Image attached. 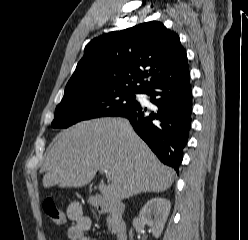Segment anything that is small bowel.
Returning <instances> with one entry per match:
<instances>
[{"label": "small bowel", "instance_id": "small-bowel-1", "mask_svg": "<svg viewBox=\"0 0 248 240\" xmlns=\"http://www.w3.org/2000/svg\"><path fill=\"white\" fill-rule=\"evenodd\" d=\"M66 214L71 222L67 230L69 240H93L86 235L91 228V220L84 214L78 202H72L67 207Z\"/></svg>", "mask_w": 248, "mask_h": 240}]
</instances>
